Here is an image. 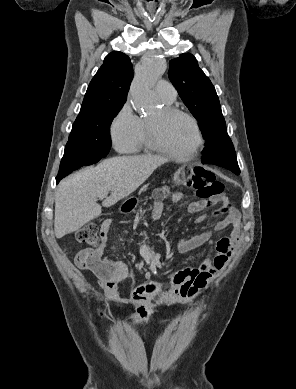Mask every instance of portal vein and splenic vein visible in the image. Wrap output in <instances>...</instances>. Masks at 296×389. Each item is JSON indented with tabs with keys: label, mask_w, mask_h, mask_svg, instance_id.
I'll return each mask as SVG.
<instances>
[{
	"label": "portal vein and splenic vein",
	"mask_w": 296,
	"mask_h": 389,
	"mask_svg": "<svg viewBox=\"0 0 296 389\" xmlns=\"http://www.w3.org/2000/svg\"><path fill=\"white\" fill-rule=\"evenodd\" d=\"M106 196H107V195L104 194V195L100 196V199H103V198L106 197Z\"/></svg>",
	"instance_id": "portal-vein-and-splenic-vein-1"
}]
</instances>
